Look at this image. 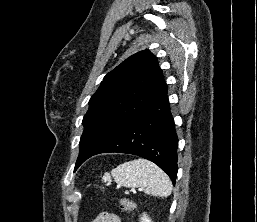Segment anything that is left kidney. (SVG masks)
I'll return each instance as SVG.
<instances>
[{"mask_svg":"<svg viewBox=\"0 0 257 222\" xmlns=\"http://www.w3.org/2000/svg\"><path fill=\"white\" fill-rule=\"evenodd\" d=\"M141 222H151V220L149 219V217L144 213L143 217H141Z\"/></svg>","mask_w":257,"mask_h":222,"instance_id":"1","label":"left kidney"}]
</instances>
